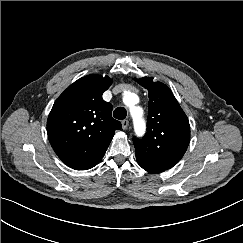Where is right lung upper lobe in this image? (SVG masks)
<instances>
[{"label":"right lung upper lobe","instance_id":"obj_1","mask_svg":"<svg viewBox=\"0 0 243 243\" xmlns=\"http://www.w3.org/2000/svg\"><path fill=\"white\" fill-rule=\"evenodd\" d=\"M112 80L88 75L70 85L55 101L47 120V134L57 156L68 167L87 170L103 158L119 121L112 105L102 99Z\"/></svg>","mask_w":243,"mask_h":243}]
</instances>
